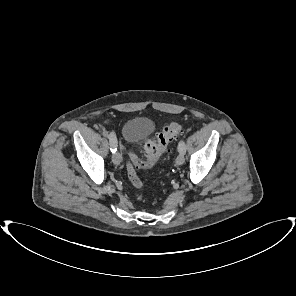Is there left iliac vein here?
Instances as JSON below:
<instances>
[{
	"instance_id": "left-iliac-vein-1",
	"label": "left iliac vein",
	"mask_w": 296,
	"mask_h": 296,
	"mask_svg": "<svg viewBox=\"0 0 296 296\" xmlns=\"http://www.w3.org/2000/svg\"><path fill=\"white\" fill-rule=\"evenodd\" d=\"M184 154L183 153H180L177 158H176V164L178 166L182 165L184 163Z\"/></svg>"
}]
</instances>
